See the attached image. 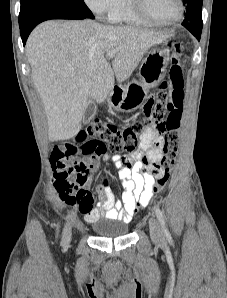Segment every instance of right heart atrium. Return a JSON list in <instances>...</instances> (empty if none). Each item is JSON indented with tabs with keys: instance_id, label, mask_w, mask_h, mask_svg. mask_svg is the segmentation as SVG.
<instances>
[{
	"instance_id": "d8ad5b80",
	"label": "right heart atrium",
	"mask_w": 227,
	"mask_h": 298,
	"mask_svg": "<svg viewBox=\"0 0 227 298\" xmlns=\"http://www.w3.org/2000/svg\"><path fill=\"white\" fill-rule=\"evenodd\" d=\"M87 7L98 16L108 15L118 0H83Z\"/></svg>"
}]
</instances>
